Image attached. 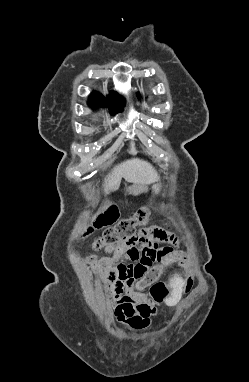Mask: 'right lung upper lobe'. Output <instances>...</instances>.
Wrapping results in <instances>:
<instances>
[{"mask_svg": "<svg viewBox=\"0 0 249 382\" xmlns=\"http://www.w3.org/2000/svg\"><path fill=\"white\" fill-rule=\"evenodd\" d=\"M90 101H91V103L96 104V105H106L107 104L106 100L104 99V97L102 95L95 94V93L91 95ZM108 101L110 104L113 105V107L110 108L111 112L120 111L122 108L121 106L124 103L123 101L119 100V96L115 92L110 93V95L108 97Z\"/></svg>", "mask_w": 249, "mask_h": 382, "instance_id": "1", "label": "right lung upper lobe"}]
</instances>
